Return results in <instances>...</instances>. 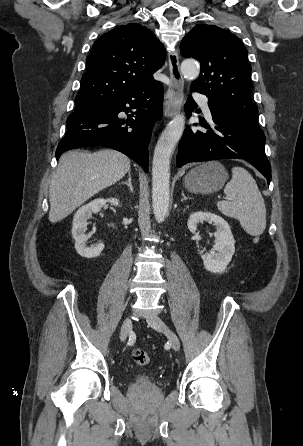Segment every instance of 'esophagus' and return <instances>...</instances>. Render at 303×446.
<instances>
[{"instance_id": "1", "label": "esophagus", "mask_w": 303, "mask_h": 446, "mask_svg": "<svg viewBox=\"0 0 303 446\" xmlns=\"http://www.w3.org/2000/svg\"><path fill=\"white\" fill-rule=\"evenodd\" d=\"M171 85L167 90V100L164 115L171 118L180 112L184 101V79L180 71L179 56L177 49L168 54Z\"/></svg>"}]
</instances>
